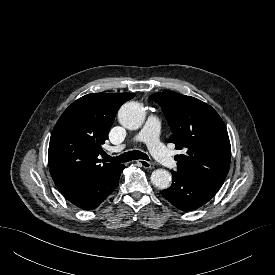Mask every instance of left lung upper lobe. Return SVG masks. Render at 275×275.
Instances as JSON below:
<instances>
[{
    "label": "left lung upper lobe",
    "mask_w": 275,
    "mask_h": 275,
    "mask_svg": "<svg viewBox=\"0 0 275 275\" xmlns=\"http://www.w3.org/2000/svg\"><path fill=\"white\" fill-rule=\"evenodd\" d=\"M172 130L169 142L186 153L176 156L177 172L221 186L230 166L231 146L218 113L194 97L172 91L155 93Z\"/></svg>",
    "instance_id": "obj_1"
}]
</instances>
